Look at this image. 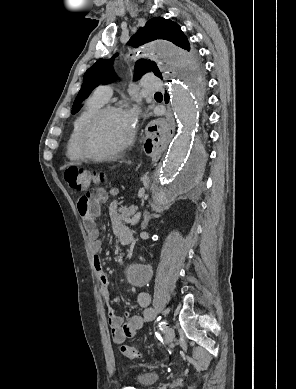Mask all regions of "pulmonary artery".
<instances>
[{
  "instance_id": "e3ab8cb5",
  "label": "pulmonary artery",
  "mask_w": 296,
  "mask_h": 389,
  "mask_svg": "<svg viewBox=\"0 0 296 389\" xmlns=\"http://www.w3.org/2000/svg\"><path fill=\"white\" fill-rule=\"evenodd\" d=\"M142 86L147 90L156 91L161 88V83L156 77L147 75L143 78ZM112 93V88L109 85H100L94 91V95L104 102L111 98Z\"/></svg>"
}]
</instances>
